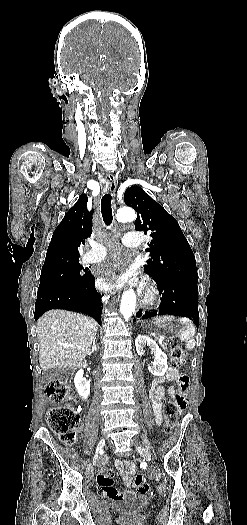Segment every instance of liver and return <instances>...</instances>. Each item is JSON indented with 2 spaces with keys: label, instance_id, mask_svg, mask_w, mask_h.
<instances>
[{
  "label": "liver",
  "instance_id": "1",
  "mask_svg": "<svg viewBox=\"0 0 247 525\" xmlns=\"http://www.w3.org/2000/svg\"><path fill=\"white\" fill-rule=\"evenodd\" d=\"M97 331L98 323L80 313L63 309H51L44 313L37 321L42 371L76 367L90 353Z\"/></svg>",
  "mask_w": 247,
  "mask_h": 525
}]
</instances>
